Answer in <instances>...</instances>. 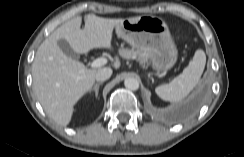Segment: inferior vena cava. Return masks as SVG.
<instances>
[{
    "mask_svg": "<svg viewBox=\"0 0 244 157\" xmlns=\"http://www.w3.org/2000/svg\"><path fill=\"white\" fill-rule=\"evenodd\" d=\"M112 75V69L111 68H100L97 70L95 78L97 81H105L107 79H109Z\"/></svg>",
    "mask_w": 244,
    "mask_h": 157,
    "instance_id": "inferior-vena-cava-1",
    "label": "inferior vena cava"
}]
</instances>
